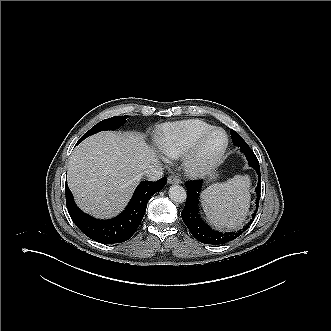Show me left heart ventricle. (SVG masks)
<instances>
[{
    "label": "left heart ventricle",
    "instance_id": "left-heart-ventricle-1",
    "mask_svg": "<svg viewBox=\"0 0 331 331\" xmlns=\"http://www.w3.org/2000/svg\"><path fill=\"white\" fill-rule=\"evenodd\" d=\"M224 136L220 132H216L211 135L205 143L204 154L211 156L215 154L223 145Z\"/></svg>",
    "mask_w": 331,
    "mask_h": 331
}]
</instances>
